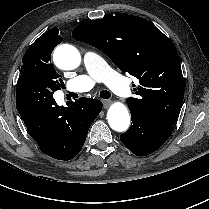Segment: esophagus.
<instances>
[{
	"label": "esophagus",
	"instance_id": "1",
	"mask_svg": "<svg viewBox=\"0 0 209 209\" xmlns=\"http://www.w3.org/2000/svg\"><path fill=\"white\" fill-rule=\"evenodd\" d=\"M110 104H111V100H103V105L105 109L108 108Z\"/></svg>",
	"mask_w": 209,
	"mask_h": 209
}]
</instances>
